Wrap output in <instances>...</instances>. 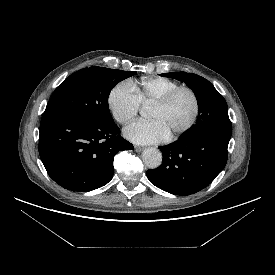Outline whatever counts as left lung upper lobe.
<instances>
[{
	"label": "left lung upper lobe",
	"mask_w": 275,
	"mask_h": 275,
	"mask_svg": "<svg viewBox=\"0 0 275 275\" xmlns=\"http://www.w3.org/2000/svg\"><path fill=\"white\" fill-rule=\"evenodd\" d=\"M161 76L183 81L195 93L198 103L196 124L186 136L218 135L231 137L232 124L223 96L205 78L186 72L163 73Z\"/></svg>",
	"instance_id": "left-lung-upper-lobe-1"
}]
</instances>
